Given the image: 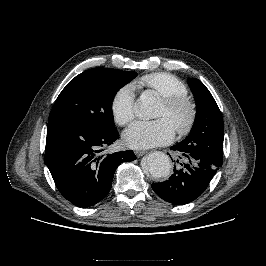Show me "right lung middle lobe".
Instances as JSON below:
<instances>
[{
  "instance_id": "dd1d6c3e",
  "label": "right lung middle lobe",
  "mask_w": 266,
  "mask_h": 266,
  "mask_svg": "<svg viewBox=\"0 0 266 266\" xmlns=\"http://www.w3.org/2000/svg\"><path fill=\"white\" fill-rule=\"evenodd\" d=\"M137 76L111 68H93L72 79L59 94L49 121L62 120L101 130L114 129L112 100Z\"/></svg>"
}]
</instances>
